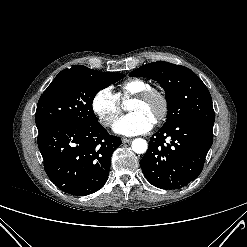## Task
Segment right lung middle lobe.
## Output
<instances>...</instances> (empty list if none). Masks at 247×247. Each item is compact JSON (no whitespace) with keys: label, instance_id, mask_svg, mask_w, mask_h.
I'll use <instances>...</instances> for the list:
<instances>
[{"label":"right lung middle lobe","instance_id":"dd1d6c3e","mask_svg":"<svg viewBox=\"0 0 247 247\" xmlns=\"http://www.w3.org/2000/svg\"><path fill=\"white\" fill-rule=\"evenodd\" d=\"M124 77L83 65L62 70L41 95L36 110L38 131L58 124L92 125L98 120L92 109L95 95Z\"/></svg>","mask_w":247,"mask_h":247}]
</instances>
